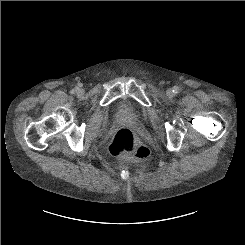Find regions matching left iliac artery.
I'll return each instance as SVG.
<instances>
[{"label": "left iliac artery", "instance_id": "1", "mask_svg": "<svg viewBox=\"0 0 245 245\" xmlns=\"http://www.w3.org/2000/svg\"><path fill=\"white\" fill-rule=\"evenodd\" d=\"M173 93H179V87L174 86L173 87Z\"/></svg>", "mask_w": 245, "mask_h": 245}]
</instances>
